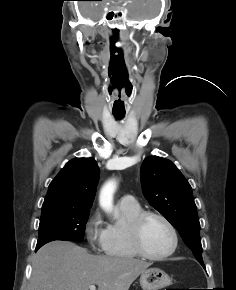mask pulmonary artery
<instances>
[{"label":"pulmonary artery","instance_id":"obj_1","mask_svg":"<svg viewBox=\"0 0 236 290\" xmlns=\"http://www.w3.org/2000/svg\"><path fill=\"white\" fill-rule=\"evenodd\" d=\"M120 203L121 204H126V205H134L136 204V199L130 195V194H127V195H124L121 199H120Z\"/></svg>","mask_w":236,"mask_h":290}]
</instances>
